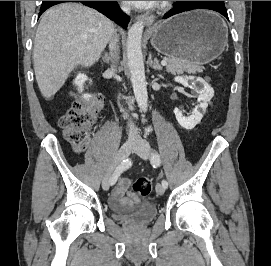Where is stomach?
Wrapping results in <instances>:
<instances>
[{
  "mask_svg": "<svg viewBox=\"0 0 271 266\" xmlns=\"http://www.w3.org/2000/svg\"><path fill=\"white\" fill-rule=\"evenodd\" d=\"M228 30L214 12L195 10L157 23L151 32V44L168 58L204 65L225 49Z\"/></svg>",
  "mask_w": 271,
  "mask_h": 266,
  "instance_id": "0dacf381",
  "label": "stomach"
}]
</instances>
